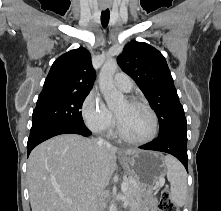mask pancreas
Returning <instances> with one entry per match:
<instances>
[{"instance_id":"1","label":"pancreas","mask_w":221,"mask_h":211,"mask_svg":"<svg viewBox=\"0 0 221 211\" xmlns=\"http://www.w3.org/2000/svg\"><path fill=\"white\" fill-rule=\"evenodd\" d=\"M128 189L125 192V197L131 211H136L142 204L147 203L149 198L143 193L141 186L132 180L130 177L127 180ZM157 193V191H156Z\"/></svg>"}]
</instances>
